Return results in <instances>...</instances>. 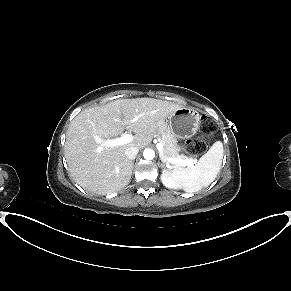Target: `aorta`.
I'll use <instances>...</instances> for the list:
<instances>
[{
  "mask_svg": "<svg viewBox=\"0 0 291 291\" xmlns=\"http://www.w3.org/2000/svg\"><path fill=\"white\" fill-rule=\"evenodd\" d=\"M143 156L146 160H152L155 157V152H154V150L147 148L144 150Z\"/></svg>",
  "mask_w": 291,
  "mask_h": 291,
  "instance_id": "1",
  "label": "aorta"
}]
</instances>
